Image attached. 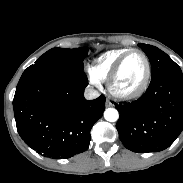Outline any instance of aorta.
I'll use <instances>...</instances> for the list:
<instances>
[{
  "instance_id": "obj_1",
  "label": "aorta",
  "mask_w": 183,
  "mask_h": 183,
  "mask_svg": "<svg viewBox=\"0 0 183 183\" xmlns=\"http://www.w3.org/2000/svg\"><path fill=\"white\" fill-rule=\"evenodd\" d=\"M104 118L109 122H115L119 118V113L114 108H108L104 112Z\"/></svg>"
}]
</instances>
